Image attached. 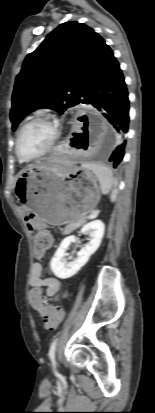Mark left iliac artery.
I'll return each instance as SVG.
<instances>
[{
    "instance_id": "left-iliac-artery-1",
    "label": "left iliac artery",
    "mask_w": 155,
    "mask_h": 413,
    "mask_svg": "<svg viewBox=\"0 0 155 413\" xmlns=\"http://www.w3.org/2000/svg\"><path fill=\"white\" fill-rule=\"evenodd\" d=\"M57 338L52 342L50 349H49V358L50 360L54 363L55 359V350H56V344H57Z\"/></svg>"
}]
</instances>
